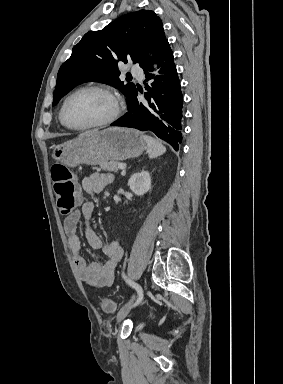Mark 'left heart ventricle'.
I'll use <instances>...</instances> for the list:
<instances>
[{
  "label": "left heart ventricle",
  "mask_w": 283,
  "mask_h": 384,
  "mask_svg": "<svg viewBox=\"0 0 283 384\" xmlns=\"http://www.w3.org/2000/svg\"><path fill=\"white\" fill-rule=\"evenodd\" d=\"M111 104L108 98L95 91H87L73 96L65 109V120L68 125L81 127L109 115Z\"/></svg>",
  "instance_id": "1"
}]
</instances>
